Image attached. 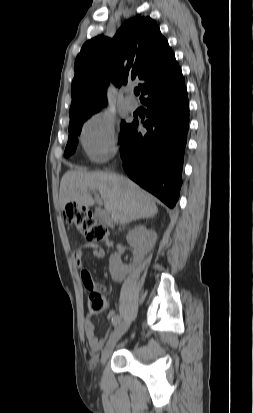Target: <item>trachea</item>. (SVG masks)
Segmentation results:
<instances>
[{"mask_svg":"<svg viewBox=\"0 0 253 413\" xmlns=\"http://www.w3.org/2000/svg\"><path fill=\"white\" fill-rule=\"evenodd\" d=\"M134 93H135V95H139V93H140V90H138V89H135V90H134Z\"/></svg>","mask_w":253,"mask_h":413,"instance_id":"1","label":"trachea"}]
</instances>
